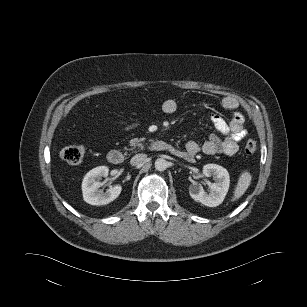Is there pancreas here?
Here are the masks:
<instances>
[{"instance_id": "pancreas-1", "label": "pancreas", "mask_w": 307, "mask_h": 307, "mask_svg": "<svg viewBox=\"0 0 307 307\" xmlns=\"http://www.w3.org/2000/svg\"><path fill=\"white\" fill-rule=\"evenodd\" d=\"M144 140H145L144 138H134L131 139L129 143L133 148L136 147L142 148Z\"/></svg>"}]
</instances>
